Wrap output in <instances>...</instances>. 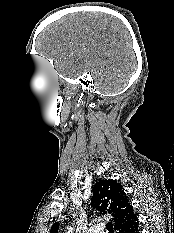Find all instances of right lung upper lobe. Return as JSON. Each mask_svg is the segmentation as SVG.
<instances>
[{"label": "right lung upper lobe", "instance_id": "cb5924a9", "mask_svg": "<svg viewBox=\"0 0 174 233\" xmlns=\"http://www.w3.org/2000/svg\"><path fill=\"white\" fill-rule=\"evenodd\" d=\"M92 191V207L103 215H112L116 233H124L138 224L133 207L118 182L100 180L93 186ZM58 229L59 223H55L52 225L50 233H58Z\"/></svg>", "mask_w": 174, "mask_h": 233}]
</instances>
